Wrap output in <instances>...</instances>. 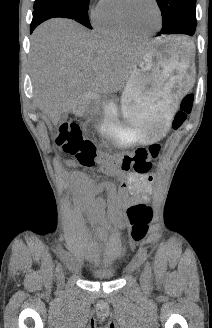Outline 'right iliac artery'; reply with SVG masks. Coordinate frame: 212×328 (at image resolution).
<instances>
[{"mask_svg":"<svg viewBox=\"0 0 212 328\" xmlns=\"http://www.w3.org/2000/svg\"><path fill=\"white\" fill-rule=\"evenodd\" d=\"M61 270H62V269H61V265L58 264L57 267H56V277H57V278L59 277V274H60Z\"/></svg>","mask_w":212,"mask_h":328,"instance_id":"1","label":"right iliac artery"}]
</instances>
